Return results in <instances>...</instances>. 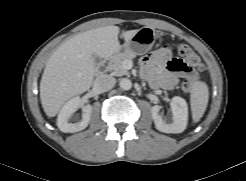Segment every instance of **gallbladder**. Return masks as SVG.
Here are the masks:
<instances>
[{"label":"gallbladder","instance_id":"bac80fb5","mask_svg":"<svg viewBox=\"0 0 246 181\" xmlns=\"http://www.w3.org/2000/svg\"><path fill=\"white\" fill-rule=\"evenodd\" d=\"M93 62L95 65H98L101 62V58L97 55H93Z\"/></svg>","mask_w":246,"mask_h":181}]
</instances>
